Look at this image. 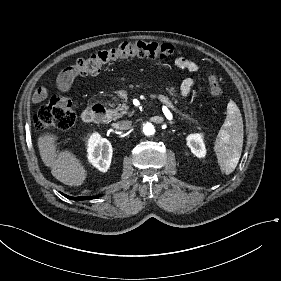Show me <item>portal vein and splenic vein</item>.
<instances>
[{
	"instance_id": "obj_1",
	"label": "portal vein and splenic vein",
	"mask_w": 281,
	"mask_h": 281,
	"mask_svg": "<svg viewBox=\"0 0 281 281\" xmlns=\"http://www.w3.org/2000/svg\"><path fill=\"white\" fill-rule=\"evenodd\" d=\"M159 98H161V101H162V104L167 106L172 110L174 111L176 114L178 115H181L183 116L184 118L188 119L191 123H192V126L193 127H196V128H202L203 127V124L197 120H195L194 118H191L190 116L186 115L185 113H182L176 106H174L172 104V100L171 99H168V98H164L163 95H155L154 96V99L155 100H158ZM173 118V117H172Z\"/></svg>"
}]
</instances>
